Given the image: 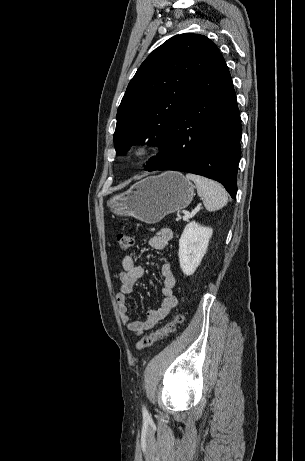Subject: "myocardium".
Returning a JSON list of instances; mask_svg holds the SVG:
<instances>
[{
    "mask_svg": "<svg viewBox=\"0 0 305 461\" xmlns=\"http://www.w3.org/2000/svg\"><path fill=\"white\" fill-rule=\"evenodd\" d=\"M154 151V145L149 142H137L128 149V155L134 160H141L150 156Z\"/></svg>",
    "mask_w": 305,
    "mask_h": 461,
    "instance_id": "f54148a6",
    "label": "myocardium"
}]
</instances>
